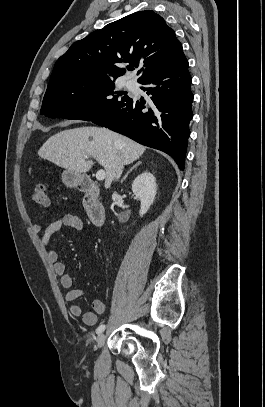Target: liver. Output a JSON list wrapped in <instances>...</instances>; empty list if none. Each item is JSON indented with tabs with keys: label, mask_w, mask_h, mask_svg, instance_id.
<instances>
[{
	"label": "liver",
	"mask_w": 265,
	"mask_h": 407,
	"mask_svg": "<svg viewBox=\"0 0 265 407\" xmlns=\"http://www.w3.org/2000/svg\"><path fill=\"white\" fill-rule=\"evenodd\" d=\"M146 147L106 128L85 126L61 131L51 136L39 149L38 155L55 165L77 173H86L93 157L105 169V187L109 188L118 159L124 165L139 159Z\"/></svg>",
	"instance_id": "obj_1"
}]
</instances>
